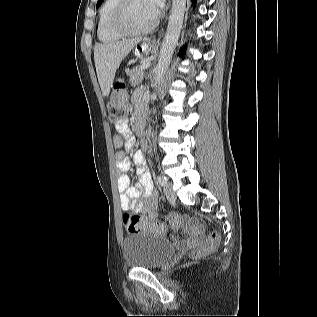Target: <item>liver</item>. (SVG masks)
Segmentation results:
<instances>
[{"label":"liver","mask_w":317,"mask_h":317,"mask_svg":"<svg viewBox=\"0 0 317 317\" xmlns=\"http://www.w3.org/2000/svg\"><path fill=\"white\" fill-rule=\"evenodd\" d=\"M141 39L99 43L94 47V61L102 95L108 96L121 61Z\"/></svg>","instance_id":"obj_1"}]
</instances>
